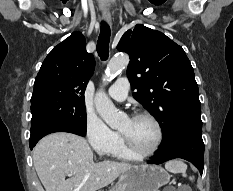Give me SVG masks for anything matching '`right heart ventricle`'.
Returning <instances> with one entry per match:
<instances>
[{"mask_svg":"<svg viewBox=\"0 0 233 191\" xmlns=\"http://www.w3.org/2000/svg\"><path fill=\"white\" fill-rule=\"evenodd\" d=\"M111 155L115 158L128 161L138 160L140 158L127 149L122 139H120L115 149L111 152Z\"/></svg>","mask_w":233,"mask_h":191,"instance_id":"1","label":"right heart ventricle"}]
</instances>
